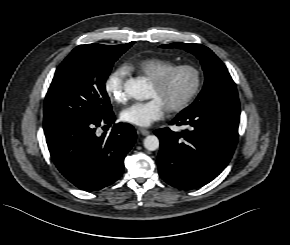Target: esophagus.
Instances as JSON below:
<instances>
[{
    "mask_svg": "<svg viewBox=\"0 0 290 245\" xmlns=\"http://www.w3.org/2000/svg\"><path fill=\"white\" fill-rule=\"evenodd\" d=\"M139 132L140 134H142L143 136H147L150 134V131L144 128H139Z\"/></svg>",
    "mask_w": 290,
    "mask_h": 245,
    "instance_id": "34e87169",
    "label": "esophagus"
}]
</instances>
